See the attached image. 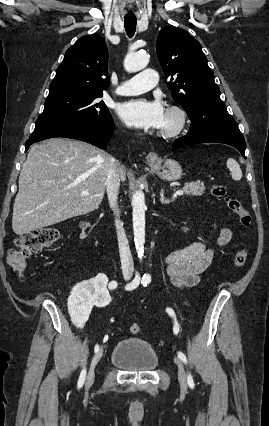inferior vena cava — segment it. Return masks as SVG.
<instances>
[{"label":"inferior vena cava","instance_id":"602c4592","mask_svg":"<svg viewBox=\"0 0 269 426\" xmlns=\"http://www.w3.org/2000/svg\"><path fill=\"white\" fill-rule=\"evenodd\" d=\"M120 166L112 159L110 168L108 170V176L106 181V192L108 195V201L110 208L114 211L117 216H119V211L117 208V198L119 194L120 187ZM119 253L122 265V272L125 276L132 275L133 273V259L128 245V240L123 228V223L116 218L115 220Z\"/></svg>","mask_w":269,"mask_h":426}]
</instances>
